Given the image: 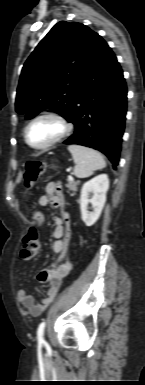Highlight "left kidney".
<instances>
[{
  "label": "left kidney",
  "mask_w": 145,
  "mask_h": 385,
  "mask_svg": "<svg viewBox=\"0 0 145 385\" xmlns=\"http://www.w3.org/2000/svg\"><path fill=\"white\" fill-rule=\"evenodd\" d=\"M108 189L109 178L106 174H100L83 185L80 196V210L82 220L86 226H92L99 219ZM90 193L93 194L91 198ZM89 203L92 205V212H88Z\"/></svg>",
  "instance_id": "left-kidney-1"
}]
</instances>
